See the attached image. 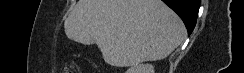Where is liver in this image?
Masks as SVG:
<instances>
[{"label": "liver", "instance_id": "obj_1", "mask_svg": "<svg viewBox=\"0 0 244 73\" xmlns=\"http://www.w3.org/2000/svg\"><path fill=\"white\" fill-rule=\"evenodd\" d=\"M64 28L73 41L96 43L104 61L116 67L164 59L186 34L161 0H79Z\"/></svg>", "mask_w": 244, "mask_h": 73}]
</instances>
